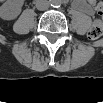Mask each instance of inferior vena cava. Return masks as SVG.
I'll use <instances>...</instances> for the list:
<instances>
[{
	"mask_svg": "<svg viewBox=\"0 0 103 103\" xmlns=\"http://www.w3.org/2000/svg\"><path fill=\"white\" fill-rule=\"evenodd\" d=\"M50 4L47 0H38L36 2V8L40 11H45L47 9H49Z\"/></svg>",
	"mask_w": 103,
	"mask_h": 103,
	"instance_id": "602c4592",
	"label": "inferior vena cava"
}]
</instances>
